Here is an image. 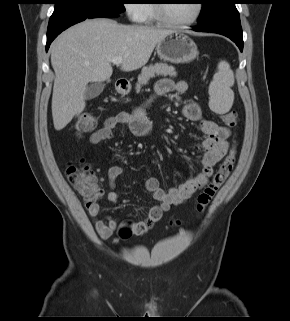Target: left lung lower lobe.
<instances>
[{
  "label": "left lung lower lobe",
  "instance_id": "1",
  "mask_svg": "<svg viewBox=\"0 0 290 321\" xmlns=\"http://www.w3.org/2000/svg\"><path fill=\"white\" fill-rule=\"evenodd\" d=\"M193 30L197 32H212L224 35L235 42L241 52L243 50L242 28L239 12L236 7L209 22L199 24L197 27L193 28Z\"/></svg>",
  "mask_w": 290,
  "mask_h": 321
}]
</instances>
